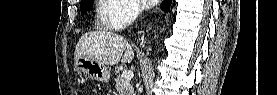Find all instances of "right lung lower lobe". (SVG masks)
I'll return each instance as SVG.
<instances>
[{"instance_id": "obj_1", "label": "right lung lower lobe", "mask_w": 277, "mask_h": 95, "mask_svg": "<svg viewBox=\"0 0 277 95\" xmlns=\"http://www.w3.org/2000/svg\"><path fill=\"white\" fill-rule=\"evenodd\" d=\"M171 2H172V0H164L161 5V9L164 10L165 12H168L170 9Z\"/></svg>"}]
</instances>
